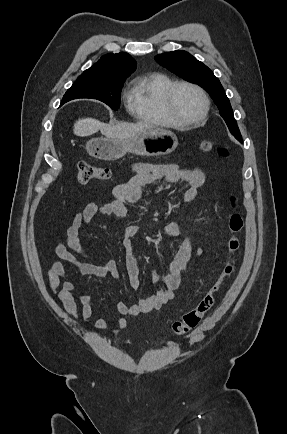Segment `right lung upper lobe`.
<instances>
[{
    "mask_svg": "<svg viewBox=\"0 0 287 434\" xmlns=\"http://www.w3.org/2000/svg\"><path fill=\"white\" fill-rule=\"evenodd\" d=\"M136 69L135 60L128 53L107 54L102 56L92 67L85 70L81 78L122 81Z\"/></svg>",
    "mask_w": 287,
    "mask_h": 434,
    "instance_id": "cb5924a9",
    "label": "right lung upper lobe"
}]
</instances>
